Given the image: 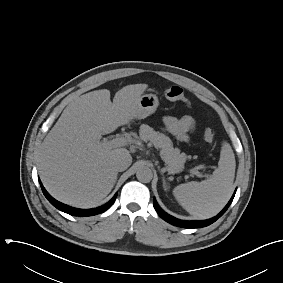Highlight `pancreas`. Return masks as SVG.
Instances as JSON below:
<instances>
[{"label": "pancreas", "mask_w": 283, "mask_h": 283, "mask_svg": "<svg viewBox=\"0 0 283 283\" xmlns=\"http://www.w3.org/2000/svg\"><path fill=\"white\" fill-rule=\"evenodd\" d=\"M139 134L143 141H150L156 148L161 149L163 160L171 172H179L182 169L187 156L185 153H180L179 149L173 148L172 141L168 136L145 124L140 126Z\"/></svg>", "instance_id": "1"}]
</instances>
